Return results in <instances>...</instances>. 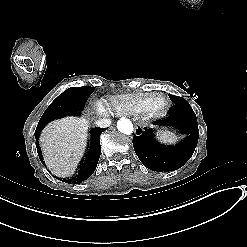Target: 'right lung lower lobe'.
Masks as SVG:
<instances>
[{
  "label": "right lung lower lobe",
  "mask_w": 247,
  "mask_h": 247,
  "mask_svg": "<svg viewBox=\"0 0 247 247\" xmlns=\"http://www.w3.org/2000/svg\"><path fill=\"white\" fill-rule=\"evenodd\" d=\"M77 114V113H76ZM52 120V119H51ZM48 119H40L38 122L37 128L35 130V138H36V147H37V152L39 155V158L41 162L44 164L42 153L39 147L38 139H39V134L41 130L45 127V125L51 121ZM105 129L103 128H93L91 130V139H90V145L89 149L85 155V158L81 164V167L78 171V174L71 178L70 180H62L59 179L63 182H68V183H81L82 181L88 179L94 172L99 157L101 153V146H100V135Z\"/></svg>",
  "instance_id": "98d812e1"
}]
</instances>
